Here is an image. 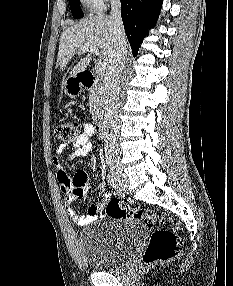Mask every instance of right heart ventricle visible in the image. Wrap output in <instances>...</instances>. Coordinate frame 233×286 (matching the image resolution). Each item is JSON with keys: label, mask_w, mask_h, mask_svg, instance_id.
I'll use <instances>...</instances> for the list:
<instances>
[{"label": "right heart ventricle", "mask_w": 233, "mask_h": 286, "mask_svg": "<svg viewBox=\"0 0 233 286\" xmlns=\"http://www.w3.org/2000/svg\"><path fill=\"white\" fill-rule=\"evenodd\" d=\"M82 1H83V3H84L85 5H87V6L90 7V4H89V1H88V0H82Z\"/></svg>", "instance_id": "obj_1"}]
</instances>
